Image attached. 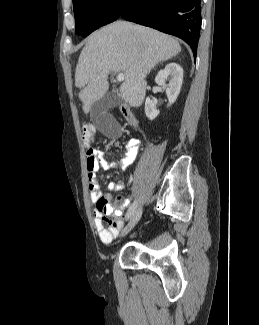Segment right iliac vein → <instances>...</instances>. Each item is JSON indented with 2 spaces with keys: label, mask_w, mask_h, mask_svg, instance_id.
Instances as JSON below:
<instances>
[{
  "label": "right iliac vein",
  "mask_w": 259,
  "mask_h": 325,
  "mask_svg": "<svg viewBox=\"0 0 259 325\" xmlns=\"http://www.w3.org/2000/svg\"><path fill=\"white\" fill-rule=\"evenodd\" d=\"M142 215V208L139 207L136 211H134V213L132 214L128 224L125 226V228L123 229L121 236H125L126 234H128L133 227L138 223V221L140 220Z\"/></svg>",
  "instance_id": "63e3f726"
}]
</instances>
